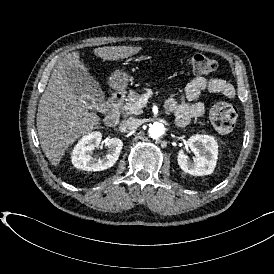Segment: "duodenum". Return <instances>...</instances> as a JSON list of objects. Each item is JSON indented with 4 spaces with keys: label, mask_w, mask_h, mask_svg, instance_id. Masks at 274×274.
I'll return each mask as SVG.
<instances>
[{
    "label": "duodenum",
    "mask_w": 274,
    "mask_h": 274,
    "mask_svg": "<svg viewBox=\"0 0 274 274\" xmlns=\"http://www.w3.org/2000/svg\"><path fill=\"white\" fill-rule=\"evenodd\" d=\"M123 102V95L121 93H113L108 101L107 108L109 114L106 117V124L110 128H115L120 121V108Z\"/></svg>",
    "instance_id": "410a0bca"
}]
</instances>
